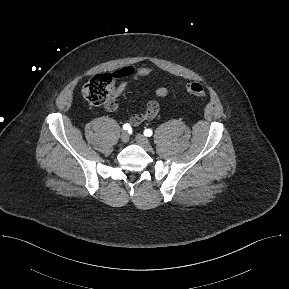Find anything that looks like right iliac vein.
I'll use <instances>...</instances> for the list:
<instances>
[{
	"label": "right iliac vein",
	"instance_id": "right-iliac-vein-1",
	"mask_svg": "<svg viewBox=\"0 0 289 289\" xmlns=\"http://www.w3.org/2000/svg\"><path fill=\"white\" fill-rule=\"evenodd\" d=\"M120 139L123 143H127L129 141V134L126 131L121 133Z\"/></svg>",
	"mask_w": 289,
	"mask_h": 289
}]
</instances>
